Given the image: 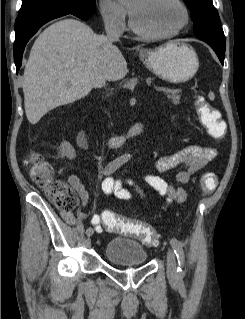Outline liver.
<instances>
[{
  "mask_svg": "<svg viewBox=\"0 0 245 319\" xmlns=\"http://www.w3.org/2000/svg\"><path fill=\"white\" fill-rule=\"evenodd\" d=\"M128 73L120 50L85 23L63 19L47 27L35 40L24 70V106L36 124L47 112L79 100L104 81H118Z\"/></svg>",
  "mask_w": 245,
  "mask_h": 319,
  "instance_id": "1",
  "label": "liver"
}]
</instances>
